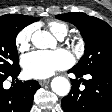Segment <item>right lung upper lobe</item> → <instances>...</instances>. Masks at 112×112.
Returning <instances> with one entry per match:
<instances>
[{
	"mask_svg": "<svg viewBox=\"0 0 112 112\" xmlns=\"http://www.w3.org/2000/svg\"><path fill=\"white\" fill-rule=\"evenodd\" d=\"M29 20H33L34 19V17H31V16H26ZM0 18H1V16H0ZM34 22H36V21H34ZM33 23V22H32Z\"/></svg>",
	"mask_w": 112,
	"mask_h": 112,
	"instance_id": "obj_1",
	"label": "right lung upper lobe"
}]
</instances>
